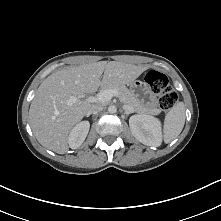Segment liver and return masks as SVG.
Instances as JSON below:
<instances>
[{
  "instance_id": "1",
  "label": "liver",
  "mask_w": 221,
  "mask_h": 221,
  "mask_svg": "<svg viewBox=\"0 0 221 221\" xmlns=\"http://www.w3.org/2000/svg\"><path fill=\"white\" fill-rule=\"evenodd\" d=\"M146 69L116 61H100L51 74L37 89L29 109L30 125L36 139L47 149L58 154L66 153L71 129L88 115L92 107L85 100L72 105H68L67 100L72 96L94 93L99 86L129 84Z\"/></svg>"
}]
</instances>
